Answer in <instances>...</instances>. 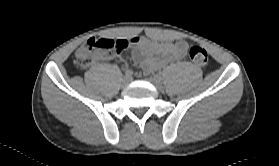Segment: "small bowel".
<instances>
[{
  "mask_svg": "<svg viewBox=\"0 0 279 166\" xmlns=\"http://www.w3.org/2000/svg\"><path fill=\"white\" fill-rule=\"evenodd\" d=\"M133 58L140 63L145 73H150L169 62L185 57L188 45L185 41L158 42L145 37L131 39Z\"/></svg>",
  "mask_w": 279,
  "mask_h": 166,
  "instance_id": "small-bowel-1",
  "label": "small bowel"
}]
</instances>
